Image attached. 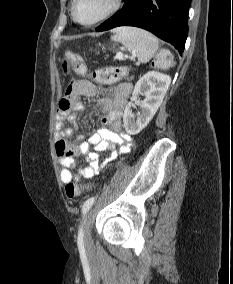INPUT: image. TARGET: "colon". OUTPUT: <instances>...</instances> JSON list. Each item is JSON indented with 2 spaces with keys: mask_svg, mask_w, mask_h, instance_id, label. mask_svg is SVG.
Segmentation results:
<instances>
[{
  "mask_svg": "<svg viewBox=\"0 0 233 284\" xmlns=\"http://www.w3.org/2000/svg\"><path fill=\"white\" fill-rule=\"evenodd\" d=\"M174 64V58L172 53L167 49H162L158 52L154 60L152 61V66L158 70H166L172 67ZM63 68L65 71L72 69L75 73L79 75L87 74V67L83 58L74 51H67L63 59ZM128 74V69L121 66H107L96 70L92 73V77L95 81L101 84H112ZM86 186H80L75 182H70L66 184L65 192L69 199H74L77 197Z\"/></svg>",
  "mask_w": 233,
  "mask_h": 284,
  "instance_id": "obj_1",
  "label": "colon"
}]
</instances>
